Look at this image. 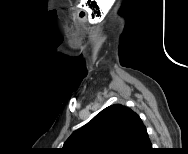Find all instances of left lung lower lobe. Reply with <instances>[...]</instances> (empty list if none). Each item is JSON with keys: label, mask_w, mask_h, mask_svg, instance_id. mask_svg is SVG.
<instances>
[{"label": "left lung lower lobe", "mask_w": 188, "mask_h": 154, "mask_svg": "<svg viewBox=\"0 0 188 154\" xmlns=\"http://www.w3.org/2000/svg\"><path fill=\"white\" fill-rule=\"evenodd\" d=\"M151 142L149 140L146 127L140 117L135 114L133 117V127L126 154H150Z\"/></svg>", "instance_id": "left-lung-lower-lobe-1"}]
</instances>
